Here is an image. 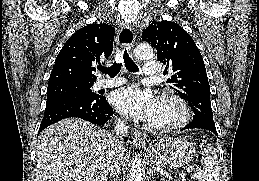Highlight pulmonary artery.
Listing matches in <instances>:
<instances>
[{
  "instance_id": "obj_1",
  "label": "pulmonary artery",
  "mask_w": 259,
  "mask_h": 181,
  "mask_svg": "<svg viewBox=\"0 0 259 181\" xmlns=\"http://www.w3.org/2000/svg\"><path fill=\"white\" fill-rule=\"evenodd\" d=\"M159 72H160V67L157 63H154V62L145 63L144 68H143V73L145 76L153 77V76H156ZM124 82H125V80L122 78L101 80L99 82V86L101 88H108V87L118 86L120 84H123Z\"/></svg>"
}]
</instances>
